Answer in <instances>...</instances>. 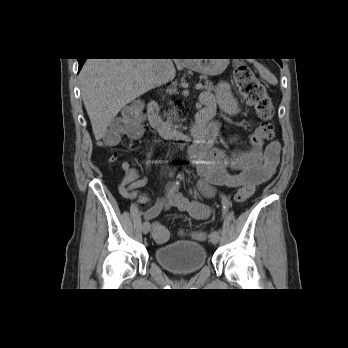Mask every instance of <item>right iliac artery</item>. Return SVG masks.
<instances>
[{
	"label": "right iliac artery",
	"instance_id": "obj_1",
	"mask_svg": "<svg viewBox=\"0 0 348 348\" xmlns=\"http://www.w3.org/2000/svg\"><path fill=\"white\" fill-rule=\"evenodd\" d=\"M179 185V182H176V185L170 190V193H173L177 190V186ZM149 200V197L147 195L140 196V198L137 199L138 205H145L147 201Z\"/></svg>",
	"mask_w": 348,
	"mask_h": 348
}]
</instances>
